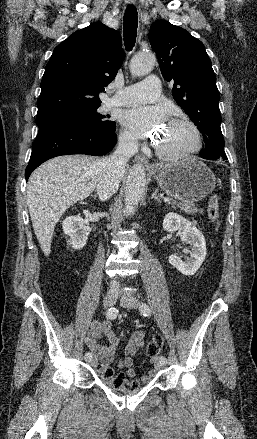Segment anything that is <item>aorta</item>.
I'll return each mask as SVG.
<instances>
[{"label":"aorta","mask_w":257,"mask_h":439,"mask_svg":"<svg viewBox=\"0 0 257 439\" xmlns=\"http://www.w3.org/2000/svg\"><path fill=\"white\" fill-rule=\"evenodd\" d=\"M155 65V57L150 52L134 56L130 62V71L136 76H143L151 72ZM146 183L145 170L141 165H134L128 175L124 203L128 214L135 212L143 195Z\"/></svg>","instance_id":"1"}]
</instances>
